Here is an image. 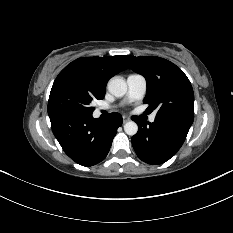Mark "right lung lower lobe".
<instances>
[{"instance_id":"1","label":"right lung lower lobe","mask_w":233,"mask_h":233,"mask_svg":"<svg viewBox=\"0 0 233 233\" xmlns=\"http://www.w3.org/2000/svg\"><path fill=\"white\" fill-rule=\"evenodd\" d=\"M52 131L64 152L82 166L101 162L108 154L122 117L111 113L103 122L92 114L73 112L49 115Z\"/></svg>"}]
</instances>
